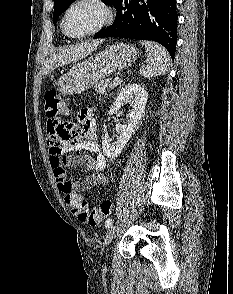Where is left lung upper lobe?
<instances>
[{
  "instance_id": "1",
  "label": "left lung upper lobe",
  "mask_w": 233,
  "mask_h": 294,
  "mask_svg": "<svg viewBox=\"0 0 233 294\" xmlns=\"http://www.w3.org/2000/svg\"><path fill=\"white\" fill-rule=\"evenodd\" d=\"M75 0H54L53 22L56 23L59 16L74 2ZM105 3L111 4L114 7L119 0H102Z\"/></svg>"
}]
</instances>
